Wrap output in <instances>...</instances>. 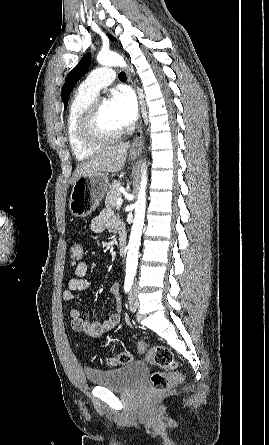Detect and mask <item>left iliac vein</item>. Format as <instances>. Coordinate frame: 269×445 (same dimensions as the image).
Listing matches in <instances>:
<instances>
[{"mask_svg":"<svg viewBox=\"0 0 269 445\" xmlns=\"http://www.w3.org/2000/svg\"><path fill=\"white\" fill-rule=\"evenodd\" d=\"M129 307L132 312H135L138 308L137 289L134 285L129 294Z\"/></svg>","mask_w":269,"mask_h":445,"instance_id":"obj_1","label":"left iliac vein"}]
</instances>
